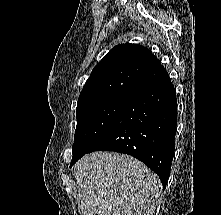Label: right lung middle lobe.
<instances>
[{
    "label": "right lung middle lobe",
    "mask_w": 221,
    "mask_h": 215,
    "mask_svg": "<svg viewBox=\"0 0 221 215\" xmlns=\"http://www.w3.org/2000/svg\"><path fill=\"white\" fill-rule=\"evenodd\" d=\"M131 99L129 97H105L77 104V126L72 147V160L83 156L90 150Z\"/></svg>",
    "instance_id": "dd1d6c3e"
}]
</instances>
